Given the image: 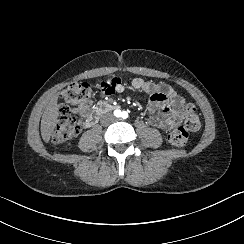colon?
<instances>
[{
  "mask_svg": "<svg viewBox=\"0 0 244 244\" xmlns=\"http://www.w3.org/2000/svg\"><path fill=\"white\" fill-rule=\"evenodd\" d=\"M92 87L85 81H74L66 87L61 94L59 109V122L53 135L55 144L64 143L75 137L79 130L78 121L84 117L92 105ZM72 107H78L76 114ZM199 117L196 107L188 103L184 112V122L169 134V141L179 147H185L189 136L199 128Z\"/></svg>",
  "mask_w": 244,
  "mask_h": 244,
  "instance_id": "colon-1",
  "label": "colon"
}]
</instances>
